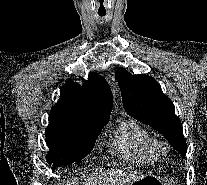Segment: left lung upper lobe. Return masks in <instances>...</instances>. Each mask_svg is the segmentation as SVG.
I'll list each match as a JSON object with an SVG mask.
<instances>
[{
    "instance_id": "obj_1",
    "label": "left lung upper lobe",
    "mask_w": 207,
    "mask_h": 185,
    "mask_svg": "<svg viewBox=\"0 0 207 185\" xmlns=\"http://www.w3.org/2000/svg\"><path fill=\"white\" fill-rule=\"evenodd\" d=\"M118 80L126 112L161 133L170 145L185 158L187 144L172 101L164 95L160 84L145 74L131 75L119 68Z\"/></svg>"
}]
</instances>
